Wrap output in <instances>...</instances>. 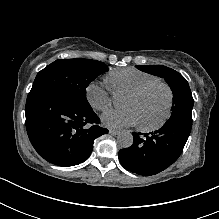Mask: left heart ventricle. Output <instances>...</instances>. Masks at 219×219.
<instances>
[{"label":"left heart ventricle","instance_id":"left-heart-ventricle-1","mask_svg":"<svg viewBox=\"0 0 219 219\" xmlns=\"http://www.w3.org/2000/svg\"><path fill=\"white\" fill-rule=\"evenodd\" d=\"M168 93L156 86L136 97H125L123 107L132 108L138 115L139 124L152 126L159 123L166 113Z\"/></svg>","mask_w":219,"mask_h":219}]
</instances>
